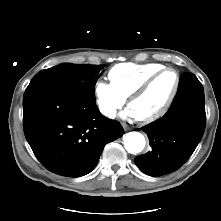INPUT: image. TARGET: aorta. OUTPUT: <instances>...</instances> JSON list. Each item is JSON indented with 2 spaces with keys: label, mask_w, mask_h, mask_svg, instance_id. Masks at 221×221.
Returning <instances> with one entry per match:
<instances>
[{
  "label": "aorta",
  "mask_w": 221,
  "mask_h": 221,
  "mask_svg": "<svg viewBox=\"0 0 221 221\" xmlns=\"http://www.w3.org/2000/svg\"><path fill=\"white\" fill-rule=\"evenodd\" d=\"M124 147L129 153H139L145 147V138L139 132H129L123 137Z\"/></svg>",
  "instance_id": "762f6f07"
}]
</instances>
